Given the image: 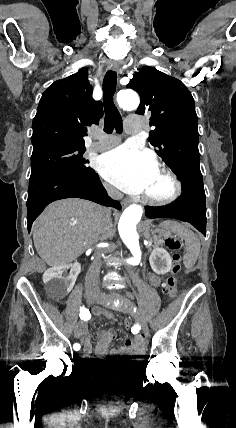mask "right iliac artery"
Returning <instances> with one entry per match:
<instances>
[{
	"label": "right iliac artery",
	"instance_id": "right-iliac-artery-1",
	"mask_svg": "<svg viewBox=\"0 0 236 428\" xmlns=\"http://www.w3.org/2000/svg\"><path fill=\"white\" fill-rule=\"evenodd\" d=\"M79 316H80L81 320H84V321H87V320H89L91 318V314H90L89 310L86 309L84 306L80 307V314H79ZM73 348H74L75 351H78V350H80L81 346H80V344L75 343L73 345Z\"/></svg>",
	"mask_w": 236,
	"mask_h": 428
}]
</instances>
